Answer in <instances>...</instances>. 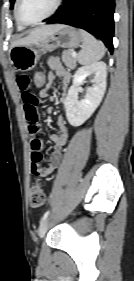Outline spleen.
<instances>
[{"label": "spleen", "mask_w": 134, "mask_h": 281, "mask_svg": "<svg viewBox=\"0 0 134 281\" xmlns=\"http://www.w3.org/2000/svg\"><path fill=\"white\" fill-rule=\"evenodd\" d=\"M83 38V46L78 54V62L81 65H89L97 62L105 55V46L101 41L95 39L91 34L80 30Z\"/></svg>", "instance_id": "spleen-1"}]
</instances>
